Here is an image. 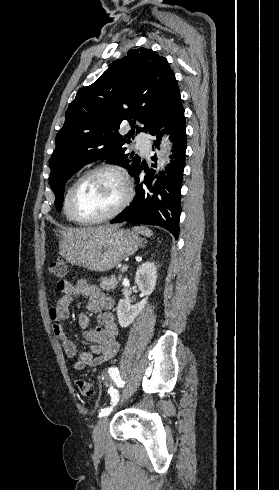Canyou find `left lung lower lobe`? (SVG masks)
Segmentation results:
<instances>
[{
  "instance_id": "obj_1",
  "label": "left lung lower lobe",
  "mask_w": 279,
  "mask_h": 490,
  "mask_svg": "<svg viewBox=\"0 0 279 490\" xmlns=\"http://www.w3.org/2000/svg\"><path fill=\"white\" fill-rule=\"evenodd\" d=\"M170 134L173 152L170 164L165 172L158 176L152 184L153 170L150 173L142 163L132 173L135 178L136 195L133 203L122 211L111 223L131 222L137 224L157 225L170 231L175 239L179 235V217L181 214V186L185 166L186 151V121L181 97H178L162 118L152 124L148 132L157 139L165 130ZM160 142L154 140L152 148H159ZM156 162V158H151ZM154 167L156 165H153ZM145 170L147 177L140 181L139 174Z\"/></svg>"
}]
</instances>
